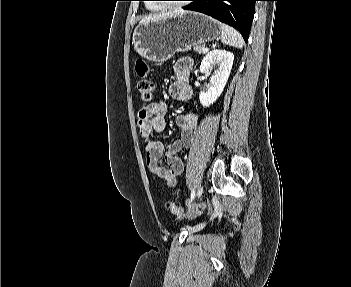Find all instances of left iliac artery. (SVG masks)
Here are the masks:
<instances>
[{"mask_svg": "<svg viewBox=\"0 0 351 287\" xmlns=\"http://www.w3.org/2000/svg\"><path fill=\"white\" fill-rule=\"evenodd\" d=\"M195 197V190L193 189L192 192H191V196H190V199H189V202L192 201Z\"/></svg>", "mask_w": 351, "mask_h": 287, "instance_id": "left-iliac-artery-1", "label": "left iliac artery"}]
</instances>
